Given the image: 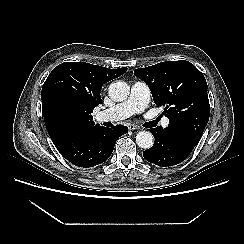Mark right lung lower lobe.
<instances>
[{"instance_id": "98d812e1", "label": "right lung lower lobe", "mask_w": 244, "mask_h": 244, "mask_svg": "<svg viewBox=\"0 0 244 244\" xmlns=\"http://www.w3.org/2000/svg\"><path fill=\"white\" fill-rule=\"evenodd\" d=\"M128 132L126 126L96 127L68 134L54 143L61 155L78 167L89 168L106 161L117 139Z\"/></svg>"}]
</instances>
